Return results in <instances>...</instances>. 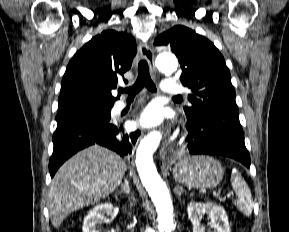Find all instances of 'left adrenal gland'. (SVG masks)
Listing matches in <instances>:
<instances>
[{"mask_svg":"<svg viewBox=\"0 0 289 232\" xmlns=\"http://www.w3.org/2000/svg\"><path fill=\"white\" fill-rule=\"evenodd\" d=\"M174 192L176 195L180 196L184 191H183V188L181 186L177 185L174 189Z\"/></svg>","mask_w":289,"mask_h":232,"instance_id":"obj_1","label":"left adrenal gland"}]
</instances>
